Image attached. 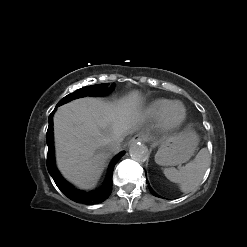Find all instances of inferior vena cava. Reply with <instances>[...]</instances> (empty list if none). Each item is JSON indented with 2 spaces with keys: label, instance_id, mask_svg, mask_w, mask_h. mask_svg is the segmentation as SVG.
Returning a JSON list of instances; mask_svg holds the SVG:
<instances>
[{
  "label": "inferior vena cava",
  "instance_id": "602c4592",
  "mask_svg": "<svg viewBox=\"0 0 247 247\" xmlns=\"http://www.w3.org/2000/svg\"><path fill=\"white\" fill-rule=\"evenodd\" d=\"M120 142L115 140L107 144L106 148L110 153H116L120 150Z\"/></svg>",
  "mask_w": 247,
  "mask_h": 247
}]
</instances>
